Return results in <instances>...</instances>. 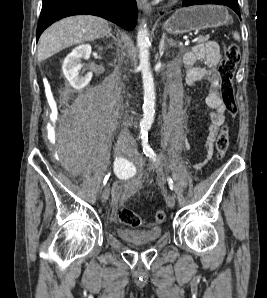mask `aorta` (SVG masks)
Returning a JSON list of instances; mask_svg holds the SVG:
<instances>
[{
    "label": "aorta",
    "mask_w": 267,
    "mask_h": 298,
    "mask_svg": "<svg viewBox=\"0 0 267 298\" xmlns=\"http://www.w3.org/2000/svg\"><path fill=\"white\" fill-rule=\"evenodd\" d=\"M149 34L147 25L143 22L137 34V46L139 49V69L142 73L143 89H144V117L140 122L141 133H146L154 121L155 113V88L153 75L149 62Z\"/></svg>",
    "instance_id": "762f6f07"
}]
</instances>
